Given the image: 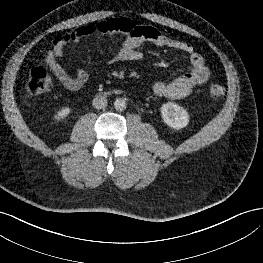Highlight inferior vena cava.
<instances>
[{
    "instance_id": "602c4592",
    "label": "inferior vena cava",
    "mask_w": 263,
    "mask_h": 263,
    "mask_svg": "<svg viewBox=\"0 0 263 263\" xmlns=\"http://www.w3.org/2000/svg\"><path fill=\"white\" fill-rule=\"evenodd\" d=\"M107 99L105 97H95L92 101V105L96 109H104L107 107Z\"/></svg>"
}]
</instances>
